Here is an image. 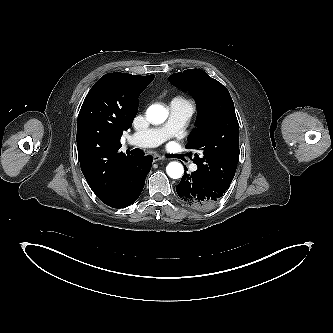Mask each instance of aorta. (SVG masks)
I'll use <instances>...</instances> for the list:
<instances>
[{
	"instance_id": "obj_1",
	"label": "aorta",
	"mask_w": 333,
	"mask_h": 333,
	"mask_svg": "<svg viewBox=\"0 0 333 333\" xmlns=\"http://www.w3.org/2000/svg\"><path fill=\"white\" fill-rule=\"evenodd\" d=\"M146 116L152 123L161 124L167 119L168 111L161 105L153 104L147 109ZM166 172L170 178L178 179L182 177L184 168L179 162H171L167 165Z\"/></svg>"
}]
</instances>
